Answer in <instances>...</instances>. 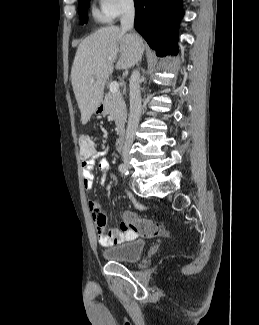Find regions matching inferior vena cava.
Here are the masks:
<instances>
[{
  "label": "inferior vena cava",
  "instance_id": "602c4592",
  "mask_svg": "<svg viewBox=\"0 0 259 325\" xmlns=\"http://www.w3.org/2000/svg\"><path fill=\"white\" fill-rule=\"evenodd\" d=\"M121 30L131 31L134 23V3L133 0H126L123 4L121 14ZM142 111L141 91H140V73L135 70L131 75L130 81V113L128 118L124 151L127 152L131 148L135 133L139 124Z\"/></svg>",
  "mask_w": 259,
  "mask_h": 325
}]
</instances>
